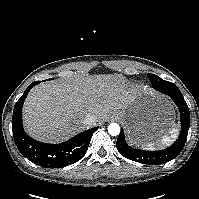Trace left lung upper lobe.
Listing matches in <instances>:
<instances>
[{
    "mask_svg": "<svg viewBox=\"0 0 199 199\" xmlns=\"http://www.w3.org/2000/svg\"><path fill=\"white\" fill-rule=\"evenodd\" d=\"M147 75L152 83V87L155 89H157L159 87H166V86L173 84L171 82L163 80L162 78L158 77L157 75L149 74V73Z\"/></svg>",
    "mask_w": 199,
    "mask_h": 199,
    "instance_id": "1",
    "label": "left lung upper lobe"
}]
</instances>
